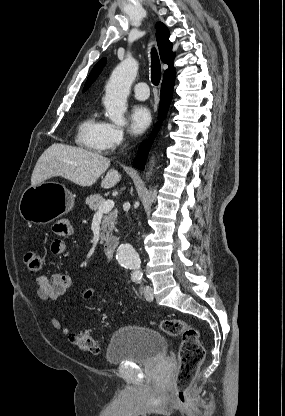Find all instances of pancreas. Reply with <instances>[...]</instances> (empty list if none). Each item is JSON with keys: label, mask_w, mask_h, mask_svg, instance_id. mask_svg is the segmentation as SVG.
<instances>
[{"label": "pancreas", "mask_w": 285, "mask_h": 416, "mask_svg": "<svg viewBox=\"0 0 285 416\" xmlns=\"http://www.w3.org/2000/svg\"><path fill=\"white\" fill-rule=\"evenodd\" d=\"M105 202L104 198L100 196V194H94V196H88L86 198V204L89 206L90 210H93V212H97L99 210V206ZM118 210H113V212H108L106 216H103L102 220V228L100 232V242L103 244L105 238L109 236V234H112L113 230H116L115 224L116 218H117Z\"/></svg>", "instance_id": "cf45deb5"}]
</instances>
